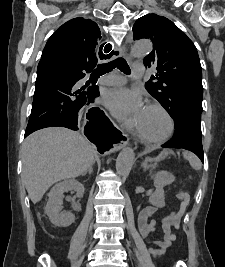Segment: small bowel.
I'll list each match as a JSON object with an SVG mask.
<instances>
[{
  "label": "small bowel",
  "mask_w": 225,
  "mask_h": 267,
  "mask_svg": "<svg viewBox=\"0 0 225 267\" xmlns=\"http://www.w3.org/2000/svg\"><path fill=\"white\" fill-rule=\"evenodd\" d=\"M177 198L180 203L179 209L169 212L160 220L152 218L157 211L156 207L154 206L145 207L139 217L138 225L141 235L148 241H150L151 235L155 232L157 225L161 223L163 239L159 241H152L157 248L149 249L150 253L154 256L162 255L176 240V235L173 230L179 228V222L186 207L182 206V201L185 199L187 205L189 201V194L184 190H179L177 192Z\"/></svg>",
  "instance_id": "obj_1"
}]
</instances>
